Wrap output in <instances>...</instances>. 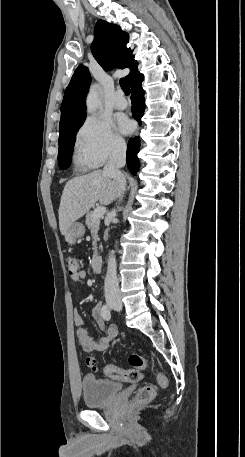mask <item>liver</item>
<instances>
[{"label":"liver","mask_w":245,"mask_h":457,"mask_svg":"<svg viewBox=\"0 0 245 457\" xmlns=\"http://www.w3.org/2000/svg\"><path fill=\"white\" fill-rule=\"evenodd\" d=\"M120 190L117 180L105 174L103 170H94L68 180L59 206L61 235L67 233L75 220L89 212L96 200L101 204H110L120 194Z\"/></svg>","instance_id":"obj_1"}]
</instances>
